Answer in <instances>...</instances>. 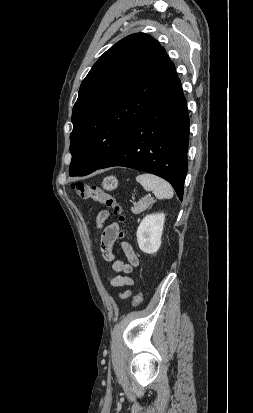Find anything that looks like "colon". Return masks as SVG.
Returning a JSON list of instances; mask_svg holds the SVG:
<instances>
[{
    "label": "colon",
    "mask_w": 253,
    "mask_h": 413,
    "mask_svg": "<svg viewBox=\"0 0 253 413\" xmlns=\"http://www.w3.org/2000/svg\"><path fill=\"white\" fill-rule=\"evenodd\" d=\"M72 188L79 197L83 199H91L95 202L105 205L106 207L110 208L115 215L118 216L121 222L125 221L126 217L124 215L122 206L110 193L102 190L96 185H89L84 182H75L72 184ZM124 235V231H120L118 233V236L120 238L124 237ZM142 300V293L138 291L133 297L132 306L138 307L142 303Z\"/></svg>",
    "instance_id": "colon-1"
}]
</instances>
